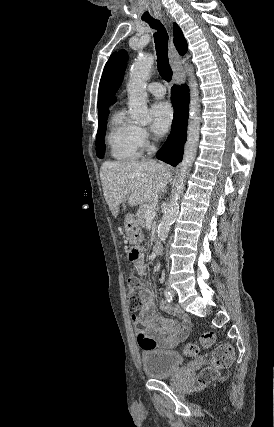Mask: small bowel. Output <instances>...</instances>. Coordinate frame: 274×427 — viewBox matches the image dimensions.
Returning <instances> with one entry per match:
<instances>
[{"instance_id": "small-bowel-1", "label": "small bowel", "mask_w": 274, "mask_h": 427, "mask_svg": "<svg viewBox=\"0 0 274 427\" xmlns=\"http://www.w3.org/2000/svg\"><path fill=\"white\" fill-rule=\"evenodd\" d=\"M135 266L141 275L145 274L147 264L142 256L135 261ZM160 308L164 312L170 311L169 305L163 300L160 302ZM180 319L181 323L157 314L150 290L144 289L141 306L138 312L131 316V324L139 347L144 352L175 348L188 337L190 328V320L186 314H180Z\"/></svg>"}]
</instances>
